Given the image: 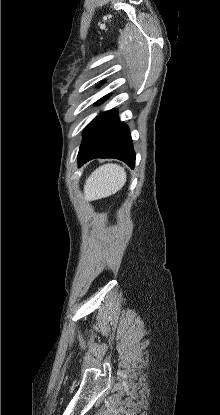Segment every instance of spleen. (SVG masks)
<instances>
[{
	"instance_id": "1",
	"label": "spleen",
	"mask_w": 220,
	"mask_h": 415,
	"mask_svg": "<svg viewBox=\"0 0 220 415\" xmlns=\"http://www.w3.org/2000/svg\"><path fill=\"white\" fill-rule=\"evenodd\" d=\"M126 172L117 164H105L94 170L84 185L85 200L93 201L118 192L126 182Z\"/></svg>"
}]
</instances>
